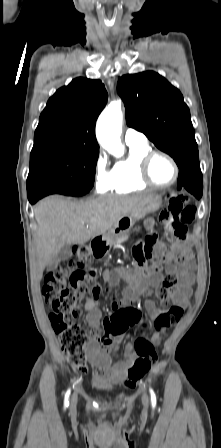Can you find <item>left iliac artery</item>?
I'll use <instances>...</instances> for the list:
<instances>
[{"mask_svg":"<svg viewBox=\"0 0 221 448\" xmlns=\"http://www.w3.org/2000/svg\"><path fill=\"white\" fill-rule=\"evenodd\" d=\"M150 393H151V402H152V406L155 407L156 405V396L155 393L152 389H150Z\"/></svg>","mask_w":221,"mask_h":448,"instance_id":"obj_1","label":"left iliac artery"}]
</instances>
